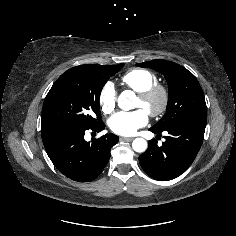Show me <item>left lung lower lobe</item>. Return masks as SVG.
<instances>
[{
    "instance_id": "1",
    "label": "left lung lower lobe",
    "mask_w": 236,
    "mask_h": 236,
    "mask_svg": "<svg viewBox=\"0 0 236 236\" xmlns=\"http://www.w3.org/2000/svg\"><path fill=\"white\" fill-rule=\"evenodd\" d=\"M206 126V116H194L157 131L149 129L155 134L165 131V142L157 145L155 139L149 141L148 149L139 156L143 170L150 177L165 181L178 177L185 172L195 159L203 142Z\"/></svg>"
}]
</instances>
